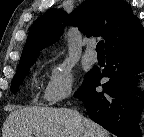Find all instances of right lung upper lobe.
Returning <instances> with one entry per match:
<instances>
[{
	"mask_svg": "<svg viewBox=\"0 0 144 137\" xmlns=\"http://www.w3.org/2000/svg\"><path fill=\"white\" fill-rule=\"evenodd\" d=\"M65 22L77 26L87 37L102 36L106 52L144 33L139 19L123 0H86L70 15L50 9L32 24L19 66L36 59L43 48L56 41Z\"/></svg>",
	"mask_w": 144,
	"mask_h": 137,
	"instance_id": "right-lung-upper-lobe-1",
	"label": "right lung upper lobe"
}]
</instances>
